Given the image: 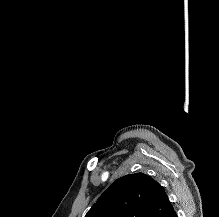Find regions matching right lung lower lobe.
<instances>
[{
  "mask_svg": "<svg viewBox=\"0 0 219 217\" xmlns=\"http://www.w3.org/2000/svg\"><path fill=\"white\" fill-rule=\"evenodd\" d=\"M168 217H178L175 211H172Z\"/></svg>",
  "mask_w": 219,
  "mask_h": 217,
  "instance_id": "1",
  "label": "right lung lower lobe"
}]
</instances>
